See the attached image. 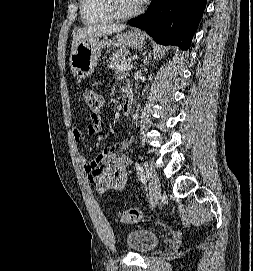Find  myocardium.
I'll list each match as a JSON object with an SVG mask.
<instances>
[{
	"label": "myocardium",
	"mask_w": 253,
	"mask_h": 271,
	"mask_svg": "<svg viewBox=\"0 0 253 271\" xmlns=\"http://www.w3.org/2000/svg\"><path fill=\"white\" fill-rule=\"evenodd\" d=\"M105 1L107 9L116 19H128L134 17L140 14L144 9V2L140 3V5L135 9L125 11L122 9L120 5V0H105Z\"/></svg>",
	"instance_id": "obj_1"
}]
</instances>
